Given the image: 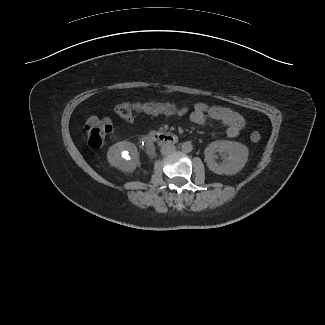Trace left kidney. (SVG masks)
I'll use <instances>...</instances> for the list:
<instances>
[{"mask_svg": "<svg viewBox=\"0 0 325 325\" xmlns=\"http://www.w3.org/2000/svg\"><path fill=\"white\" fill-rule=\"evenodd\" d=\"M226 153L228 157L218 164L216 153ZM208 168L216 174L234 175L240 172L248 160V148L239 142L217 140L211 142L204 151Z\"/></svg>", "mask_w": 325, "mask_h": 325, "instance_id": "obj_1", "label": "left kidney"}]
</instances>
